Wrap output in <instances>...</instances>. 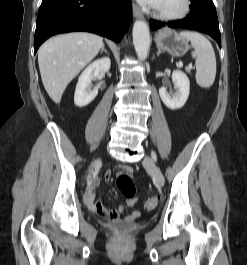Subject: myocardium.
<instances>
[{
  "label": "myocardium",
  "mask_w": 247,
  "mask_h": 265,
  "mask_svg": "<svg viewBox=\"0 0 247 265\" xmlns=\"http://www.w3.org/2000/svg\"><path fill=\"white\" fill-rule=\"evenodd\" d=\"M192 10V0H181V6L174 12H166L155 7L154 16L164 22H175L187 17Z\"/></svg>",
  "instance_id": "obj_1"
}]
</instances>
